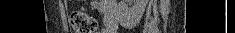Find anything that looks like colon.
I'll use <instances>...</instances> for the list:
<instances>
[{"label":"colon","instance_id":"obj_1","mask_svg":"<svg viewBox=\"0 0 235 33\" xmlns=\"http://www.w3.org/2000/svg\"><path fill=\"white\" fill-rule=\"evenodd\" d=\"M70 24L75 33H94L97 29L96 19L83 11L72 12Z\"/></svg>","mask_w":235,"mask_h":33}]
</instances>
